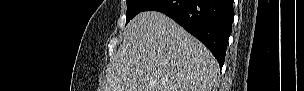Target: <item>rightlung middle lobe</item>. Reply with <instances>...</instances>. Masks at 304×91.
Segmentation results:
<instances>
[{
    "label": "right lung middle lobe",
    "mask_w": 304,
    "mask_h": 91,
    "mask_svg": "<svg viewBox=\"0 0 304 91\" xmlns=\"http://www.w3.org/2000/svg\"><path fill=\"white\" fill-rule=\"evenodd\" d=\"M151 1L152 0H127L126 24L134 16L142 12Z\"/></svg>",
    "instance_id": "right-lung-middle-lobe-1"
}]
</instances>
